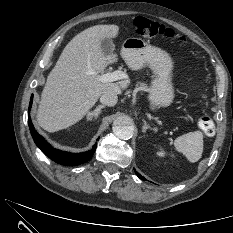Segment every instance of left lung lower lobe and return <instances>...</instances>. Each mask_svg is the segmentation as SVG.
Wrapping results in <instances>:
<instances>
[{"mask_svg": "<svg viewBox=\"0 0 233 233\" xmlns=\"http://www.w3.org/2000/svg\"><path fill=\"white\" fill-rule=\"evenodd\" d=\"M135 172H136V171H135ZM136 174H137V176H138L140 179L145 180L144 177H142L139 173L136 172Z\"/></svg>", "mask_w": 233, "mask_h": 233, "instance_id": "0a47b994", "label": "left lung lower lobe"}]
</instances>
